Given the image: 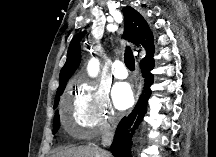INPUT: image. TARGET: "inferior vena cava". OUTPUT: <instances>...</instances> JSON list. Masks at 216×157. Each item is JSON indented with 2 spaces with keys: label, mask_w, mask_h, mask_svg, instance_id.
<instances>
[{
  "label": "inferior vena cava",
  "mask_w": 216,
  "mask_h": 157,
  "mask_svg": "<svg viewBox=\"0 0 216 157\" xmlns=\"http://www.w3.org/2000/svg\"><path fill=\"white\" fill-rule=\"evenodd\" d=\"M113 134L110 131H104L102 134V145L103 147L110 146L112 143Z\"/></svg>",
  "instance_id": "inferior-vena-cava-1"
}]
</instances>
